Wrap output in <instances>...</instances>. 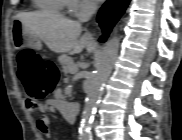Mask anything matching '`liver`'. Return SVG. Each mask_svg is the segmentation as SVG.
<instances>
[{
    "instance_id": "liver-1",
    "label": "liver",
    "mask_w": 182,
    "mask_h": 140,
    "mask_svg": "<svg viewBox=\"0 0 182 140\" xmlns=\"http://www.w3.org/2000/svg\"><path fill=\"white\" fill-rule=\"evenodd\" d=\"M17 18L53 52L77 54L84 48L91 49L94 44L91 34L80 37L82 26L79 22L58 13H20Z\"/></svg>"
}]
</instances>
